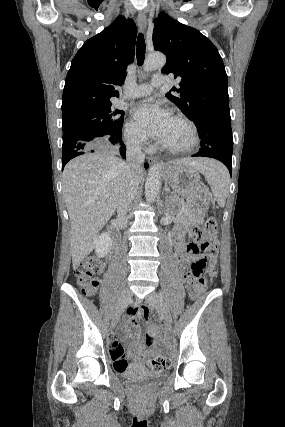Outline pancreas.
Returning <instances> with one entry per match:
<instances>
[{"label": "pancreas", "mask_w": 285, "mask_h": 427, "mask_svg": "<svg viewBox=\"0 0 285 427\" xmlns=\"http://www.w3.org/2000/svg\"><path fill=\"white\" fill-rule=\"evenodd\" d=\"M179 211H180V209H179ZM181 212H182V214L179 216V218L181 219V218H183L184 216H186V215H191L193 212H194V208L192 207V206H190V204H189V202L187 203V206L185 207V208H183V209H181ZM202 215H200L199 217H195L194 219L196 220V221H199V220H201L202 219Z\"/></svg>", "instance_id": "1"}]
</instances>
